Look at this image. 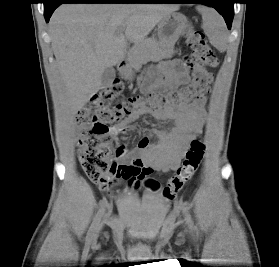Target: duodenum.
Returning a JSON list of instances; mask_svg holds the SVG:
<instances>
[{"label": "duodenum", "instance_id": "1", "mask_svg": "<svg viewBox=\"0 0 279 267\" xmlns=\"http://www.w3.org/2000/svg\"><path fill=\"white\" fill-rule=\"evenodd\" d=\"M118 70L123 74L130 72V59L127 55H124L118 62Z\"/></svg>", "mask_w": 279, "mask_h": 267}]
</instances>
